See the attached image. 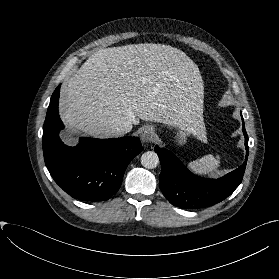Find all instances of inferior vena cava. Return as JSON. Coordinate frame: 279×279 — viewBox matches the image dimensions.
Listing matches in <instances>:
<instances>
[{
    "label": "inferior vena cava",
    "mask_w": 279,
    "mask_h": 279,
    "mask_svg": "<svg viewBox=\"0 0 279 279\" xmlns=\"http://www.w3.org/2000/svg\"><path fill=\"white\" fill-rule=\"evenodd\" d=\"M132 129V125H125L120 129V132L124 135L128 132H130Z\"/></svg>",
    "instance_id": "obj_1"
}]
</instances>
